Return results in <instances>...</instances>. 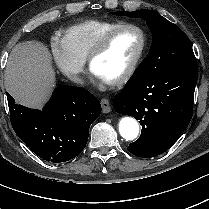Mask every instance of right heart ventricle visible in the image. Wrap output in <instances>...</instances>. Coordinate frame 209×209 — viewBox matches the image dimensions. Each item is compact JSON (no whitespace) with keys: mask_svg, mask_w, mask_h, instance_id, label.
Masks as SVG:
<instances>
[{"mask_svg":"<svg viewBox=\"0 0 209 209\" xmlns=\"http://www.w3.org/2000/svg\"><path fill=\"white\" fill-rule=\"evenodd\" d=\"M117 24L113 20L88 19L65 28L63 38L71 52L84 61L98 39Z\"/></svg>","mask_w":209,"mask_h":209,"instance_id":"obj_1","label":"right heart ventricle"}]
</instances>
